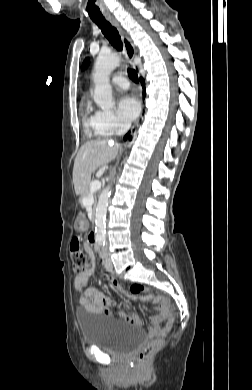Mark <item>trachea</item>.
Returning <instances> with one entry per match:
<instances>
[{
  "label": "trachea",
  "mask_w": 252,
  "mask_h": 390,
  "mask_svg": "<svg viewBox=\"0 0 252 390\" xmlns=\"http://www.w3.org/2000/svg\"><path fill=\"white\" fill-rule=\"evenodd\" d=\"M93 21L101 29L102 33L111 43V45L117 50L122 51L123 44L117 29L113 27L105 18L93 19ZM128 76L132 81L138 83V75L134 69L128 70Z\"/></svg>",
  "instance_id": "trachea-1"
}]
</instances>
